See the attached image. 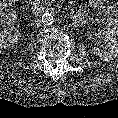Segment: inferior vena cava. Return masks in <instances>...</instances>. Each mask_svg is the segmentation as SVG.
Masks as SVG:
<instances>
[{
	"mask_svg": "<svg viewBox=\"0 0 118 118\" xmlns=\"http://www.w3.org/2000/svg\"><path fill=\"white\" fill-rule=\"evenodd\" d=\"M35 22H36L37 26H40L41 25V21L40 20H37Z\"/></svg>",
	"mask_w": 118,
	"mask_h": 118,
	"instance_id": "1",
	"label": "inferior vena cava"
}]
</instances>
